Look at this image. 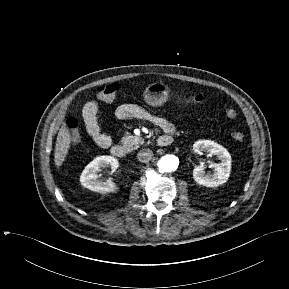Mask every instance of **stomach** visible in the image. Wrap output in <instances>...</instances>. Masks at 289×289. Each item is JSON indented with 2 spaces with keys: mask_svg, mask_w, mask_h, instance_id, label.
I'll use <instances>...</instances> for the list:
<instances>
[{
  "mask_svg": "<svg viewBox=\"0 0 289 289\" xmlns=\"http://www.w3.org/2000/svg\"><path fill=\"white\" fill-rule=\"evenodd\" d=\"M143 96L148 105L162 106L169 98V88L162 82L152 83L145 89Z\"/></svg>",
  "mask_w": 289,
  "mask_h": 289,
  "instance_id": "1",
  "label": "stomach"
}]
</instances>
